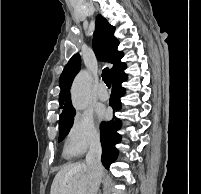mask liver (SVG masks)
<instances>
[{
  "label": "liver",
  "instance_id": "obj_1",
  "mask_svg": "<svg viewBox=\"0 0 201 194\" xmlns=\"http://www.w3.org/2000/svg\"><path fill=\"white\" fill-rule=\"evenodd\" d=\"M88 175L85 163H68L56 174L50 194H87Z\"/></svg>",
  "mask_w": 201,
  "mask_h": 194
}]
</instances>
